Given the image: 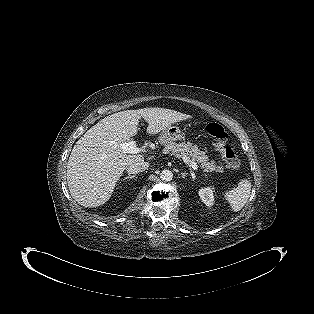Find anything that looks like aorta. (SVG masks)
Here are the masks:
<instances>
[{"mask_svg": "<svg viewBox=\"0 0 314 314\" xmlns=\"http://www.w3.org/2000/svg\"><path fill=\"white\" fill-rule=\"evenodd\" d=\"M160 178L163 181H171L173 179V173L170 170H162L160 173Z\"/></svg>", "mask_w": 314, "mask_h": 314, "instance_id": "aorta-1", "label": "aorta"}]
</instances>
